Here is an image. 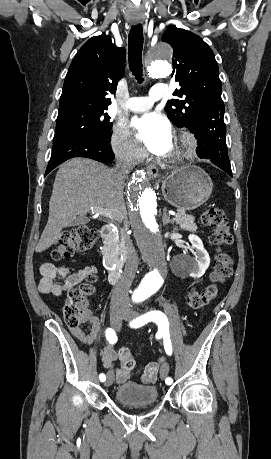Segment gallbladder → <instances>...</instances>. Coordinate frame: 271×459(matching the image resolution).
I'll list each match as a JSON object with an SVG mask.
<instances>
[{"mask_svg": "<svg viewBox=\"0 0 271 459\" xmlns=\"http://www.w3.org/2000/svg\"><path fill=\"white\" fill-rule=\"evenodd\" d=\"M80 224H86L85 218H83V220H81V218H78V220H73V222L68 224V226H80Z\"/></svg>", "mask_w": 271, "mask_h": 459, "instance_id": "1", "label": "gallbladder"}]
</instances>
